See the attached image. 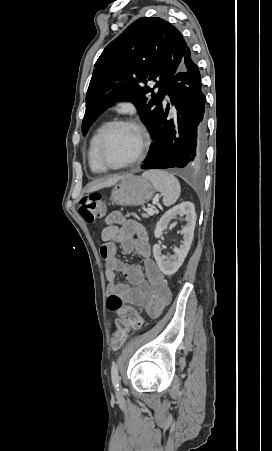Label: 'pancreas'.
<instances>
[{
    "label": "pancreas",
    "instance_id": "cf45deb5",
    "mask_svg": "<svg viewBox=\"0 0 272 451\" xmlns=\"http://www.w3.org/2000/svg\"><path fill=\"white\" fill-rule=\"evenodd\" d=\"M143 218H149L148 214H142Z\"/></svg>",
    "mask_w": 272,
    "mask_h": 451
}]
</instances>
